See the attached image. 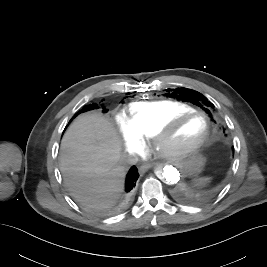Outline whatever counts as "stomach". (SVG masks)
Here are the masks:
<instances>
[{"mask_svg": "<svg viewBox=\"0 0 267 267\" xmlns=\"http://www.w3.org/2000/svg\"><path fill=\"white\" fill-rule=\"evenodd\" d=\"M205 159L201 155L193 154L182 163V167L186 173L196 175L202 171Z\"/></svg>", "mask_w": 267, "mask_h": 267, "instance_id": "stomach-1", "label": "stomach"}]
</instances>
